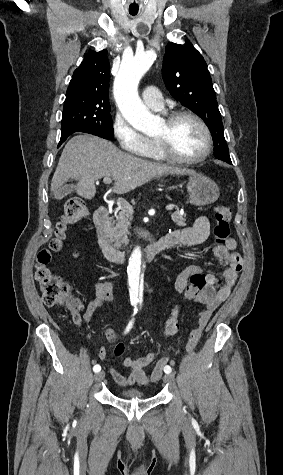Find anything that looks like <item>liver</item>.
Here are the masks:
<instances>
[{
    "mask_svg": "<svg viewBox=\"0 0 283 475\" xmlns=\"http://www.w3.org/2000/svg\"><path fill=\"white\" fill-rule=\"evenodd\" d=\"M164 174L185 176L195 172L167 164L146 162L142 158L121 152L108 140L85 134L74 136L67 142L52 178L51 192L56 194L68 180H79L76 186L78 196L92 200L96 194L95 182L100 178H113L115 184L112 192L127 194Z\"/></svg>",
    "mask_w": 283,
    "mask_h": 475,
    "instance_id": "liver-1",
    "label": "liver"
}]
</instances>
